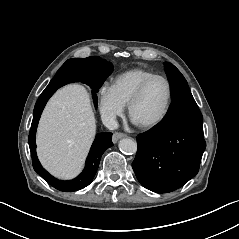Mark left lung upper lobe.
Here are the masks:
<instances>
[{"instance_id": "obj_1", "label": "left lung upper lobe", "mask_w": 239, "mask_h": 239, "mask_svg": "<svg viewBox=\"0 0 239 239\" xmlns=\"http://www.w3.org/2000/svg\"><path fill=\"white\" fill-rule=\"evenodd\" d=\"M165 71L171 83L172 96L190 92L189 86L180 71L171 63L165 62Z\"/></svg>"}]
</instances>
